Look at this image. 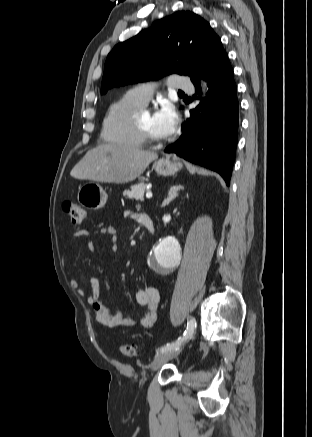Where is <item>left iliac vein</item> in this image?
<instances>
[{
    "instance_id": "1",
    "label": "left iliac vein",
    "mask_w": 312,
    "mask_h": 437,
    "mask_svg": "<svg viewBox=\"0 0 312 437\" xmlns=\"http://www.w3.org/2000/svg\"><path fill=\"white\" fill-rule=\"evenodd\" d=\"M192 319H194V318H191L190 320H192ZM183 347H184V342L182 345H180L177 348H173V349H170L168 351H165L163 353L158 354L152 362V369L157 370L162 365H164L166 362H168L169 360L178 356L180 354V352L182 351Z\"/></svg>"
}]
</instances>
